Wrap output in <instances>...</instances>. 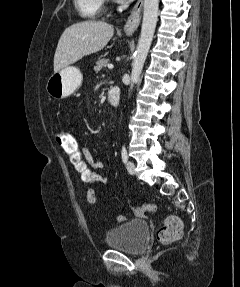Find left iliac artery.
<instances>
[{
  "label": "left iliac artery",
  "mask_w": 240,
  "mask_h": 287,
  "mask_svg": "<svg viewBox=\"0 0 240 287\" xmlns=\"http://www.w3.org/2000/svg\"><path fill=\"white\" fill-rule=\"evenodd\" d=\"M121 156H122L123 162L126 163L128 160V154H127V150L125 146L122 147Z\"/></svg>",
  "instance_id": "44dca946"
}]
</instances>
